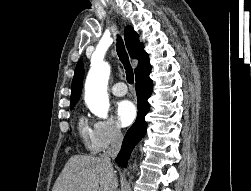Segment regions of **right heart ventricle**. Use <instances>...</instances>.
Here are the masks:
<instances>
[{
    "label": "right heart ventricle",
    "instance_id": "right-heart-ventricle-1",
    "mask_svg": "<svg viewBox=\"0 0 251 191\" xmlns=\"http://www.w3.org/2000/svg\"><path fill=\"white\" fill-rule=\"evenodd\" d=\"M79 136L87 149L95 151V147L92 140L93 130L90 128L87 120L84 117L79 118L78 122Z\"/></svg>",
    "mask_w": 251,
    "mask_h": 191
}]
</instances>
